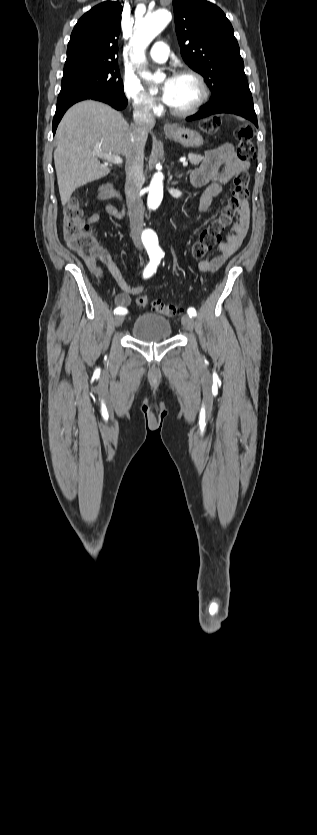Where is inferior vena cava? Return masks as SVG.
<instances>
[{
    "label": "inferior vena cava",
    "instance_id": "obj_1",
    "mask_svg": "<svg viewBox=\"0 0 317 835\" xmlns=\"http://www.w3.org/2000/svg\"><path fill=\"white\" fill-rule=\"evenodd\" d=\"M134 125L130 131V146L126 155V184L125 194L130 219L131 237L134 245L142 249L141 233L143 231L144 206L140 191L144 182L143 161L144 147L148 132L155 125V117L149 106L135 103L133 105Z\"/></svg>",
    "mask_w": 317,
    "mask_h": 835
}]
</instances>
